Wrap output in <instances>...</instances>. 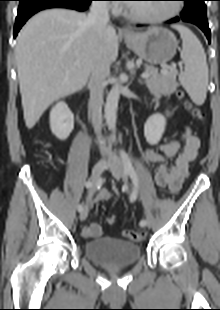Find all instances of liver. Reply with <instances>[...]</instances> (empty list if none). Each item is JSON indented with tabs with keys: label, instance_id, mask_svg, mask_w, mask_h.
Returning a JSON list of instances; mask_svg holds the SVG:
<instances>
[{
	"label": "liver",
	"instance_id": "1",
	"mask_svg": "<svg viewBox=\"0 0 220 310\" xmlns=\"http://www.w3.org/2000/svg\"><path fill=\"white\" fill-rule=\"evenodd\" d=\"M99 41L110 64L116 61L115 29L107 26L99 38L86 14L67 9L42 11L21 29L15 58L28 129L53 102L86 85Z\"/></svg>",
	"mask_w": 220,
	"mask_h": 310
}]
</instances>
